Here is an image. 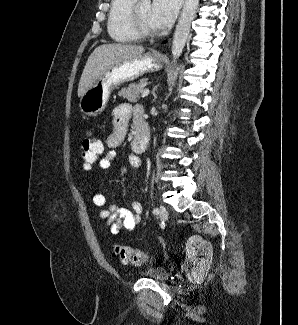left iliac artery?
<instances>
[{
  "label": "left iliac artery",
  "mask_w": 298,
  "mask_h": 325,
  "mask_svg": "<svg viewBox=\"0 0 298 325\" xmlns=\"http://www.w3.org/2000/svg\"><path fill=\"white\" fill-rule=\"evenodd\" d=\"M153 214L158 215V214H159V209H158V208H155V209L153 210Z\"/></svg>",
  "instance_id": "44dca946"
}]
</instances>
